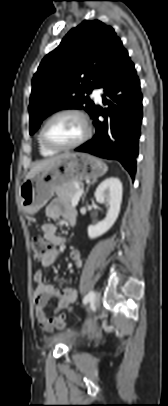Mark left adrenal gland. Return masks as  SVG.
<instances>
[{"label": "left adrenal gland", "instance_id": "1", "mask_svg": "<svg viewBox=\"0 0 168 406\" xmlns=\"http://www.w3.org/2000/svg\"><path fill=\"white\" fill-rule=\"evenodd\" d=\"M96 181L95 180H93L90 184H88V186H87V188H86V191H85V193H84V196H83V198H82V201L84 202V199H85V197H86V194H87V192H88V190H89V187H90V185L91 184H94Z\"/></svg>", "mask_w": 168, "mask_h": 406}]
</instances>
